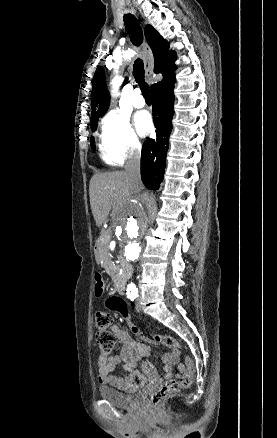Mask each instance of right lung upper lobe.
I'll use <instances>...</instances> for the list:
<instances>
[{
  "label": "right lung upper lobe",
  "instance_id": "cb5924a9",
  "mask_svg": "<svg viewBox=\"0 0 277 438\" xmlns=\"http://www.w3.org/2000/svg\"><path fill=\"white\" fill-rule=\"evenodd\" d=\"M145 37L150 45L155 58V73H162L163 80L174 74L176 66L174 60L176 54L169 51V43L151 26L147 25L144 29ZM160 83V82H158ZM158 83L151 85L153 88ZM110 96L105 83V73L101 66H98L94 74L91 93L92 117L91 121L98 120L109 108Z\"/></svg>",
  "mask_w": 277,
  "mask_h": 438
}]
</instances>
